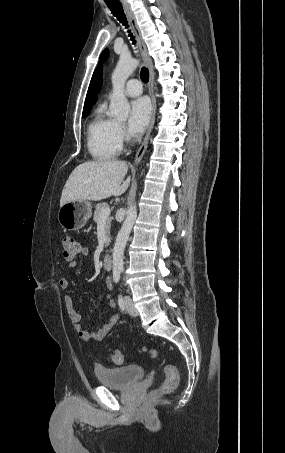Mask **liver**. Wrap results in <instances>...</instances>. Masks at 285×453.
I'll return each instance as SVG.
<instances>
[{
	"instance_id": "liver-1",
	"label": "liver",
	"mask_w": 285,
	"mask_h": 453,
	"mask_svg": "<svg viewBox=\"0 0 285 453\" xmlns=\"http://www.w3.org/2000/svg\"><path fill=\"white\" fill-rule=\"evenodd\" d=\"M128 165L118 160H97L78 165L62 190L60 206L76 200L99 201L122 195L130 185L123 182Z\"/></svg>"
}]
</instances>
